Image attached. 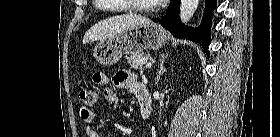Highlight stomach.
<instances>
[{
    "label": "stomach",
    "instance_id": "obj_1",
    "mask_svg": "<svg viewBox=\"0 0 280 137\" xmlns=\"http://www.w3.org/2000/svg\"><path fill=\"white\" fill-rule=\"evenodd\" d=\"M169 41L166 31L155 23L142 24L102 39L94 57L105 66L114 65L123 55H137L146 49L158 50Z\"/></svg>",
    "mask_w": 280,
    "mask_h": 137
}]
</instances>
